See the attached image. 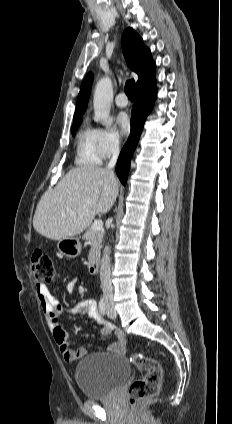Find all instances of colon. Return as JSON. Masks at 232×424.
<instances>
[{
	"instance_id": "obj_1",
	"label": "colon",
	"mask_w": 232,
	"mask_h": 424,
	"mask_svg": "<svg viewBox=\"0 0 232 424\" xmlns=\"http://www.w3.org/2000/svg\"><path fill=\"white\" fill-rule=\"evenodd\" d=\"M33 273L36 280L53 282L58 278V271L51 256L37 250L32 255ZM133 364L145 373L144 377L132 382L128 389V401L131 405L155 396L162 383V369L159 362L151 357L135 353L131 357Z\"/></svg>"
}]
</instances>
